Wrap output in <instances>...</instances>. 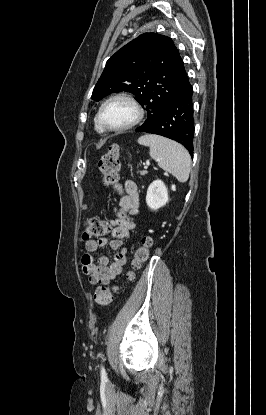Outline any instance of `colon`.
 I'll use <instances>...</instances> for the list:
<instances>
[{
	"label": "colon",
	"instance_id": "obj_1",
	"mask_svg": "<svg viewBox=\"0 0 266 415\" xmlns=\"http://www.w3.org/2000/svg\"><path fill=\"white\" fill-rule=\"evenodd\" d=\"M99 170L102 174L103 183L120 191L119 186V149L117 146H111L99 160ZM111 230V224L108 221L99 218H89L85 221V228L83 232V239L91 240L99 238ZM153 245V240L149 236L142 238L141 244L135 250L132 259V270L127 273V279L134 278V271L145 263L149 257L150 249ZM123 285L112 287H98L94 292V300L100 308L107 307L113 298V294L119 292Z\"/></svg>",
	"mask_w": 266,
	"mask_h": 415
}]
</instances>
